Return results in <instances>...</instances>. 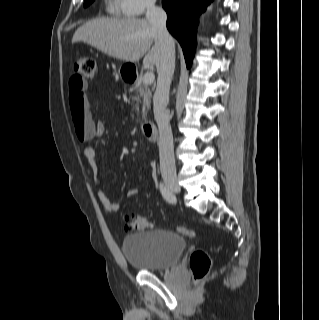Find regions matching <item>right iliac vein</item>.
I'll return each instance as SVG.
<instances>
[{
	"mask_svg": "<svg viewBox=\"0 0 319 320\" xmlns=\"http://www.w3.org/2000/svg\"><path fill=\"white\" fill-rule=\"evenodd\" d=\"M165 184L175 193L180 192V185L178 184V181L174 177H165L164 178Z\"/></svg>",
	"mask_w": 319,
	"mask_h": 320,
	"instance_id": "63e3f726",
	"label": "right iliac vein"
}]
</instances>
